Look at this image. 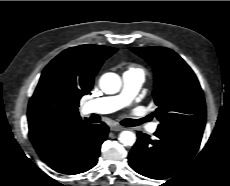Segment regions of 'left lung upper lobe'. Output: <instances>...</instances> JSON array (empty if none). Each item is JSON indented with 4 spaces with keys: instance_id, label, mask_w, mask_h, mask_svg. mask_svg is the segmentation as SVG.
Segmentation results:
<instances>
[{
    "instance_id": "left-lung-upper-lobe-1",
    "label": "left lung upper lobe",
    "mask_w": 230,
    "mask_h": 186,
    "mask_svg": "<svg viewBox=\"0 0 230 186\" xmlns=\"http://www.w3.org/2000/svg\"><path fill=\"white\" fill-rule=\"evenodd\" d=\"M153 66V102L158 127L203 133L206 107L198 79L187 63L164 47L131 48Z\"/></svg>"
}]
</instances>
